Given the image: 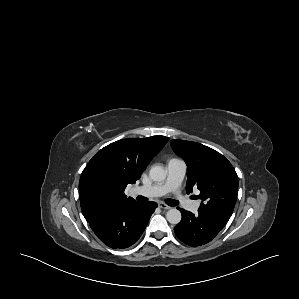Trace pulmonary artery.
Segmentation results:
<instances>
[{
	"mask_svg": "<svg viewBox=\"0 0 299 299\" xmlns=\"http://www.w3.org/2000/svg\"><path fill=\"white\" fill-rule=\"evenodd\" d=\"M185 173L186 164L184 161L171 159L167 164V178L163 184L137 187L134 189V193L146 197H160L168 192H174L185 208L196 211L199 208V202L185 199L178 190Z\"/></svg>",
	"mask_w": 299,
	"mask_h": 299,
	"instance_id": "1",
	"label": "pulmonary artery"
}]
</instances>
